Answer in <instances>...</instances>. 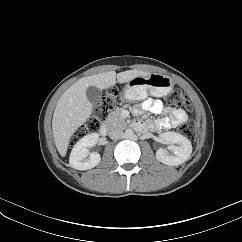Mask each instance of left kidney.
Listing matches in <instances>:
<instances>
[{
    "mask_svg": "<svg viewBox=\"0 0 242 242\" xmlns=\"http://www.w3.org/2000/svg\"><path fill=\"white\" fill-rule=\"evenodd\" d=\"M159 138L162 143L169 145L168 150L170 151L163 148L157 150L156 158L160 162L170 166H177L190 157L192 145L183 135L176 132H164L160 134Z\"/></svg>",
    "mask_w": 242,
    "mask_h": 242,
    "instance_id": "1",
    "label": "left kidney"
}]
</instances>
